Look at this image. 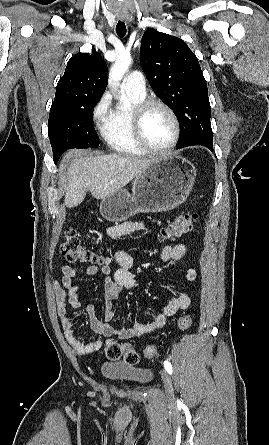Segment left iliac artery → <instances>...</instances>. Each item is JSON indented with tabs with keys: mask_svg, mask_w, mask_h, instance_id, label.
<instances>
[{
	"mask_svg": "<svg viewBox=\"0 0 269 445\" xmlns=\"http://www.w3.org/2000/svg\"><path fill=\"white\" fill-rule=\"evenodd\" d=\"M164 367L169 374H172V365L168 360L164 361Z\"/></svg>",
	"mask_w": 269,
	"mask_h": 445,
	"instance_id": "obj_1",
	"label": "left iliac artery"
}]
</instances>
